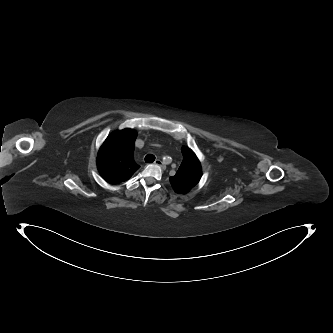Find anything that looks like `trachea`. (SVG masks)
I'll return each instance as SVG.
<instances>
[{"label": "trachea", "mask_w": 333, "mask_h": 333, "mask_svg": "<svg viewBox=\"0 0 333 333\" xmlns=\"http://www.w3.org/2000/svg\"><path fill=\"white\" fill-rule=\"evenodd\" d=\"M155 160V156L153 154H147L145 156V162L146 163H152Z\"/></svg>", "instance_id": "trachea-1"}]
</instances>
